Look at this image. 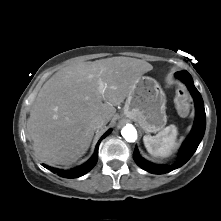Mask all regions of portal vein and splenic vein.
I'll use <instances>...</instances> for the list:
<instances>
[{"instance_id": "portal-vein-and-splenic-vein-1", "label": "portal vein and splenic vein", "mask_w": 221, "mask_h": 221, "mask_svg": "<svg viewBox=\"0 0 221 221\" xmlns=\"http://www.w3.org/2000/svg\"><path fill=\"white\" fill-rule=\"evenodd\" d=\"M100 86H99V90H100V93H104L105 89H106V85L100 81Z\"/></svg>"}]
</instances>
